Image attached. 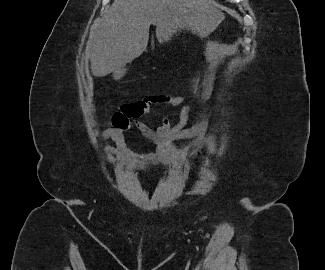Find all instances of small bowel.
<instances>
[{
	"instance_id": "c3829d8e",
	"label": "small bowel",
	"mask_w": 325,
	"mask_h": 270,
	"mask_svg": "<svg viewBox=\"0 0 325 270\" xmlns=\"http://www.w3.org/2000/svg\"><path fill=\"white\" fill-rule=\"evenodd\" d=\"M156 104L169 106H181L182 113L179 121L172 125L169 119L160 115L155 128H152L138 120L142 116L149 115ZM190 105L186 104L181 96L153 95L145 97L130 104H121V109L114 118V124L103 130L101 140H111L114 145L104 148L107 155H111L120 161V168L126 167L132 160L150 165L175 164L183 160L199 148L201 140H197L190 145L176 148L173 142L187 139L201 133L206 127V122H200L194 126L186 127L187 114ZM134 127L144 138L157 144V152L147 156H139L132 153L126 146L125 131Z\"/></svg>"
}]
</instances>
